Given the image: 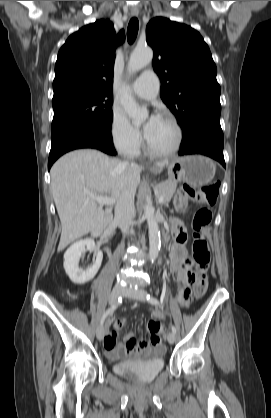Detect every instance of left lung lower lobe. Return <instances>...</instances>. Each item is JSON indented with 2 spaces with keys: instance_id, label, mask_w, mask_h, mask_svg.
<instances>
[{
  "instance_id": "obj_1",
  "label": "left lung lower lobe",
  "mask_w": 271,
  "mask_h": 418,
  "mask_svg": "<svg viewBox=\"0 0 271 418\" xmlns=\"http://www.w3.org/2000/svg\"><path fill=\"white\" fill-rule=\"evenodd\" d=\"M220 121H200L187 128L179 155L203 154L225 166Z\"/></svg>"
}]
</instances>
